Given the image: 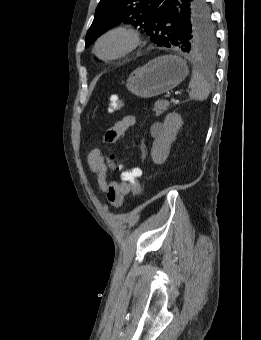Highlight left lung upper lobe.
<instances>
[{
  "instance_id": "left-lung-upper-lobe-1",
  "label": "left lung upper lobe",
  "mask_w": 261,
  "mask_h": 340,
  "mask_svg": "<svg viewBox=\"0 0 261 340\" xmlns=\"http://www.w3.org/2000/svg\"><path fill=\"white\" fill-rule=\"evenodd\" d=\"M166 0H101L86 35V48L101 34L121 22L148 31L158 46L177 47L192 54L212 55L215 31L205 0H195L192 14L171 25L159 17Z\"/></svg>"
}]
</instances>
